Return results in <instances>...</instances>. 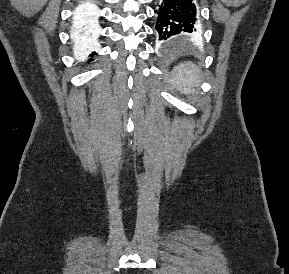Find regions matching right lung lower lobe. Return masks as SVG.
<instances>
[{
  "label": "right lung lower lobe",
  "mask_w": 289,
  "mask_h": 274,
  "mask_svg": "<svg viewBox=\"0 0 289 274\" xmlns=\"http://www.w3.org/2000/svg\"><path fill=\"white\" fill-rule=\"evenodd\" d=\"M94 54H95V53L93 52V53H92L90 56H91V57H93V56H94ZM90 60H92V58H90ZM90 60H89V61H90Z\"/></svg>",
  "instance_id": "obj_1"
}]
</instances>
